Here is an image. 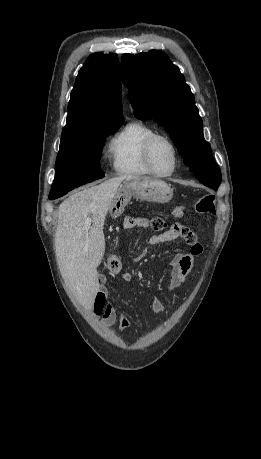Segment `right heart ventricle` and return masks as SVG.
I'll list each match as a JSON object with an SVG mask.
<instances>
[{
    "mask_svg": "<svg viewBox=\"0 0 261 459\" xmlns=\"http://www.w3.org/2000/svg\"><path fill=\"white\" fill-rule=\"evenodd\" d=\"M156 130L147 123L127 124L112 139L109 150L117 174L123 176L151 174L144 161V146Z\"/></svg>",
    "mask_w": 261,
    "mask_h": 459,
    "instance_id": "e07e8e85",
    "label": "right heart ventricle"
}]
</instances>
